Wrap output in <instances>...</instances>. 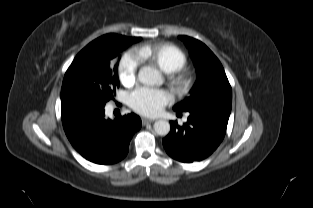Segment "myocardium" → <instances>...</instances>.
<instances>
[{
	"instance_id": "f54148a6",
	"label": "myocardium",
	"mask_w": 313,
	"mask_h": 208,
	"mask_svg": "<svg viewBox=\"0 0 313 208\" xmlns=\"http://www.w3.org/2000/svg\"><path fill=\"white\" fill-rule=\"evenodd\" d=\"M175 84L178 85L181 89L186 90L191 85V79L188 75H179L174 80Z\"/></svg>"
}]
</instances>
